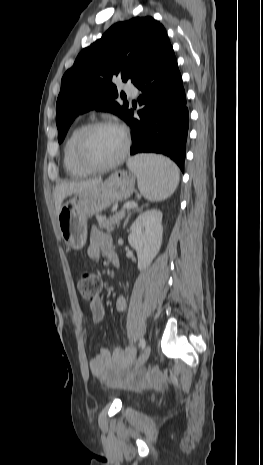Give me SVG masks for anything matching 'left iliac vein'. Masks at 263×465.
Masks as SVG:
<instances>
[{"label":"left iliac vein","mask_w":263,"mask_h":465,"mask_svg":"<svg viewBox=\"0 0 263 465\" xmlns=\"http://www.w3.org/2000/svg\"><path fill=\"white\" fill-rule=\"evenodd\" d=\"M151 354V345H147L142 354L140 355L139 359L137 360L134 369L140 368L149 358Z\"/></svg>","instance_id":"4c4485c4"}]
</instances>
